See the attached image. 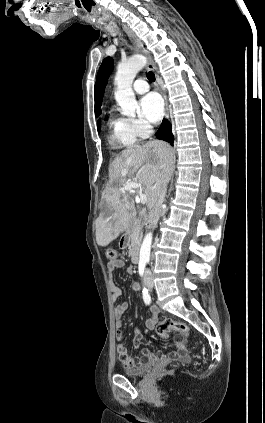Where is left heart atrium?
I'll return each mask as SVG.
<instances>
[{
    "instance_id": "obj_1",
    "label": "left heart atrium",
    "mask_w": 265,
    "mask_h": 423,
    "mask_svg": "<svg viewBox=\"0 0 265 423\" xmlns=\"http://www.w3.org/2000/svg\"><path fill=\"white\" fill-rule=\"evenodd\" d=\"M140 111L142 117L150 122L157 123L164 114V104L161 97L156 93H149L140 100Z\"/></svg>"
}]
</instances>
